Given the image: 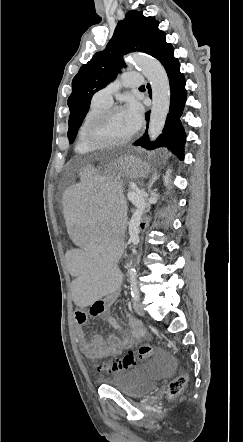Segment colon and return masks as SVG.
I'll list each match as a JSON object with an SVG mask.
<instances>
[{"mask_svg": "<svg viewBox=\"0 0 243 442\" xmlns=\"http://www.w3.org/2000/svg\"><path fill=\"white\" fill-rule=\"evenodd\" d=\"M153 219L150 216L144 217L140 222L139 227L142 233L149 231V225L152 224ZM155 348L149 344H144L139 347L137 352H128L123 357H107L106 362L98 363L96 368L100 373L114 374L127 371L136 367L139 362L150 358L154 354ZM86 364H93V359H86ZM188 382V377L185 374L177 376L169 385L168 393L170 397H175L182 392Z\"/></svg>", "mask_w": 243, "mask_h": 442, "instance_id": "colon-1", "label": "colon"}]
</instances>
